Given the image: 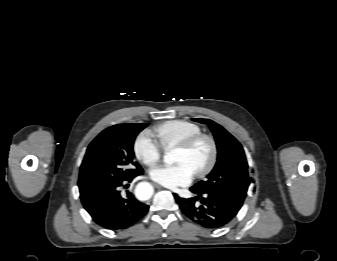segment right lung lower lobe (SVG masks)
I'll return each instance as SVG.
<instances>
[{"mask_svg": "<svg viewBox=\"0 0 337 261\" xmlns=\"http://www.w3.org/2000/svg\"><path fill=\"white\" fill-rule=\"evenodd\" d=\"M142 173L143 171L120 183L96 190L81 199L84 208L98 225L110 230L126 229L147 213L149 206L139 202L131 193L127 192L126 198L120 194L123 185Z\"/></svg>", "mask_w": 337, "mask_h": 261, "instance_id": "98d812e1", "label": "right lung lower lobe"}]
</instances>
